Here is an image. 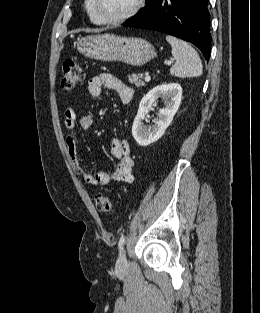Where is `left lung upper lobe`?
<instances>
[{
    "instance_id": "obj_1",
    "label": "left lung upper lobe",
    "mask_w": 260,
    "mask_h": 313,
    "mask_svg": "<svg viewBox=\"0 0 260 313\" xmlns=\"http://www.w3.org/2000/svg\"><path fill=\"white\" fill-rule=\"evenodd\" d=\"M148 1H149V0H146V3H147ZM133 18H134V16H133V17H131V18H130V20H132Z\"/></svg>"
}]
</instances>
